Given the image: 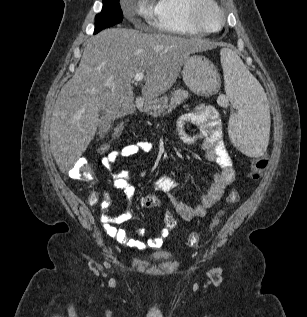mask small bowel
<instances>
[{"instance_id": "1", "label": "small bowel", "mask_w": 307, "mask_h": 317, "mask_svg": "<svg viewBox=\"0 0 307 317\" xmlns=\"http://www.w3.org/2000/svg\"><path fill=\"white\" fill-rule=\"evenodd\" d=\"M188 124L199 126V134H188L185 129ZM176 133L180 142L186 145H192L202 140V147L205 150L206 158L215 162L220 167V171L215 174L210 188L202 195L200 204L195 207L184 204L174 195L173 192L178 182L170 175H162L154 181L152 186L153 191L167 194L170 203L180 217L185 221H189L193 218L204 217L207 211L222 197L226 187L235 180V168L223 141L222 123L219 112L215 107L199 105L195 111L183 114L177 121ZM156 149L157 145L155 143L137 141L127 144L120 149L113 150L109 154L104 155L101 159V165L113 178V187L124 191L128 209L118 216H111L109 214L111 199L109 195L104 192L99 219L109 236L121 244L136 247L140 250L148 247L160 248L164 238L168 235V231L164 230L160 235L151 237L146 242H142L117 227L118 224L127 222L133 217L129 207L132 203L135 190L130 183L131 176L129 172L122 171L115 173L112 169L114 164L123 158L135 156L140 153H152ZM144 199L145 197H143L141 201L143 205ZM90 201L95 203L97 201V194H92ZM142 233L143 232H141V234Z\"/></svg>"}]
</instances>
